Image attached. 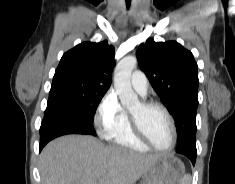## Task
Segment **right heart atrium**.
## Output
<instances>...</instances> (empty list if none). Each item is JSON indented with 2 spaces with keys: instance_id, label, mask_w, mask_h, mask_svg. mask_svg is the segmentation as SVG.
I'll use <instances>...</instances> for the list:
<instances>
[{
  "instance_id": "right-heart-atrium-1",
  "label": "right heart atrium",
  "mask_w": 235,
  "mask_h": 184,
  "mask_svg": "<svg viewBox=\"0 0 235 184\" xmlns=\"http://www.w3.org/2000/svg\"><path fill=\"white\" fill-rule=\"evenodd\" d=\"M127 119V113L113 91L104 94L92 116L96 133L103 139L114 138Z\"/></svg>"
}]
</instances>
